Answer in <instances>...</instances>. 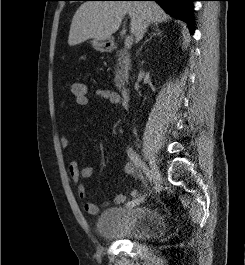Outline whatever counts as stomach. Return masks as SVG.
<instances>
[{
  "label": "stomach",
  "instance_id": "stomach-1",
  "mask_svg": "<svg viewBox=\"0 0 245 265\" xmlns=\"http://www.w3.org/2000/svg\"><path fill=\"white\" fill-rule=\"evenodd\" d=\"M110 42L111 41L109 39L106 40L94 39L91 43L96 51L106 52L111 48Z\"/></svg>",
  "mask_w": 245,
  "mask_h": 265
}]
</instances>
